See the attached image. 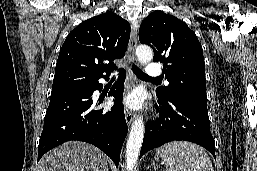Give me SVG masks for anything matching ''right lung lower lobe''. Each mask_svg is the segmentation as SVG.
Returning <instances> with one entry per match:
<instances>
[{
	"instance_id": "98d812e1",
	"label": "right lung lower lobe",
	"mask_w": 257,
	"mask_h": 171,
	"mask_svg": "<svg viewBox=\"0 0 257 171\" xmlns=\"http://www.w3.org/2000/svg\"><path fill=\"white\" fill-rule=\"evenodd\" d=\"M125 72L109 92L117 104L111 110L97 109L92 100L101 90L98 80L69 87L53 88L39 140L38 161L50 149L69 140L85 141L97 146L116 166L128 132L122 101Z\"/></svg>"
}]
</instances>
